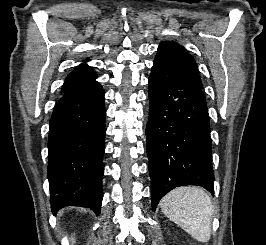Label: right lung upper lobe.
Segmentation results:
<instances>
[{
	"label": "right lung upper lobe",
	"mask_w": 266,
	"mask_h": 245,
	"mask_svg": "<svg viewBox=\"0 0 266 245\" xmlns=\"http://www.w3.org/2000/svg\"><path fill=\"white\" fill-rule=\"evenodd\" d=\"M96 73L86 64L77 66L66 78L62 86V94L72 87L81 85L86 82L95 81Z\"/></svg>",
	"instance_id": "cb5924a9"
}]
</instances>
